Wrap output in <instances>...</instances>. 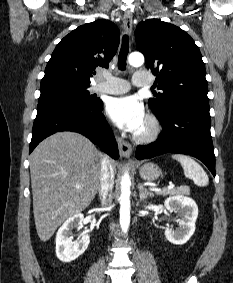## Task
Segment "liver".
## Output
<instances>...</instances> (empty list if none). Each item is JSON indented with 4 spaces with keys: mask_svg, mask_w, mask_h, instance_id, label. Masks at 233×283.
I'll list each match as a JSON object with an SVG mask.
<instances>
[{
    "mask_svg": "<svg viewBox=\"0 0 233 283\" xmlns=\"http://www.w3.org/2000/svg\"><path fill=\"white\" fill-rule=\"evenodd\" d=\"M102 158L89 139L69 131L49 136L34 149L30 173L41 241H48L63 222L90 205L99 190ZM112 167L115 174V161Z\"/></svg>",
    "mask_w": 233,
    "mask_h": 283,
    "instance_id": "obj_1",
    "label": "liver"
}]
</instances>
